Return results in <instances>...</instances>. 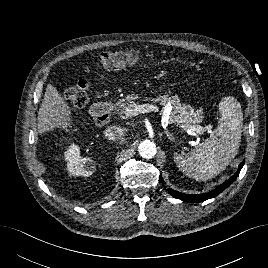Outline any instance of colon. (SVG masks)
Masks as SVG:
<instances>
[{"label":"colon","instance_id":"1","mask_svg":"<svg viewBox=\"0 0 268 268\" xmlns=\"http://www.w3.org/2000/svg\"><path fill=\"white\" fill-rule=\"evenodd\" d=\"M145 56L135 50L104 51L98 56V65L105 69H122L132 67L143 61ZM89 86L86 82H78L63 92V97L72 108H79L88 100Z\"/></svg>","mask_w":268,"mask_h":268}]
</instances>
